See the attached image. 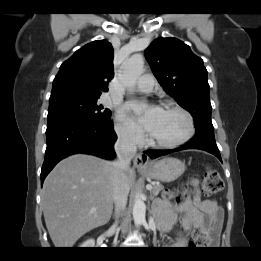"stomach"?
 Here are the masks:
<instances>
[{
	"label": "stomach",
	"instance_id": "obj_1",
	"mask_svg": "<svg viewBox=\"0 0 261 261\" xmlns=\"http://www.w3.org/2000/svg\"><path fill=\"white\" fill-rule=\"evenodd\" d=\"M148 177L164 182H171L179 178L185 171V164L173 157H165L159 161L151 162V164L141 169Z\"/></svg>",
	"mask_w": 261,
	"mask_h": 261
}]
</instances>
